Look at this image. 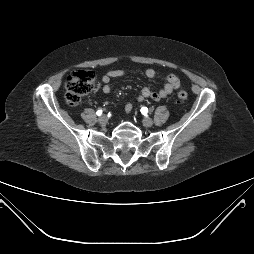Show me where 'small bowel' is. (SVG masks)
<instances>
[{"label":"small bowel","mask_w":254,"mask_h":254,"mask_svg":"<svg viewBox=\"0 0 254 254\" xmlns=\"http://www.w3.org/2000/svg\"><path fill=\"white\" fill-rule=\"evenodd\" d=\"M126 74V71L123 69H114L107 72L105 75L102 76V91L105 94L110 93L111 91V81L114 78H120L123 77ZM145 75L148 78H154L156 77L157 73L154 69L148 68L145 70ZM181 80L180 78L175 74H169L166 77V83L165 85L158 91H153L149 87H143L141 89L140 94L137 96L136 100L139 102H142L146 99H152L154 101H160L166 97H168L170 94L173 93L176 89L180 87ZM133 104L132 102H128L125 105V112L129 113L132 110Z\"/></svg>","instance_id":"1"}]
</instances>
